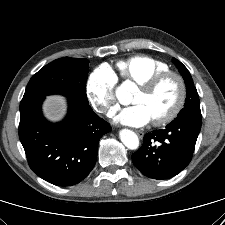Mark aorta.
Here are the masks:
<instances>
[{
  "mask_svg": "<svg viewBox=\"0 0 225 225\" xmlns=\"http://www.w3.org/2000/svg\"><path fill=\"white\" fill-rule=\"evenodd\" d=\"M135 88L134 83L125 81L116 91V96L120 102L129 101ZM120 140L130 150H135L139 146L138 136L131 130L123 129L120 131Z\"/></svg>",
  "mask_w": 225,
  "mask_h": 225,
  "instance_id": "obj_1",
  "label": "aorta"
}]
</instances>
